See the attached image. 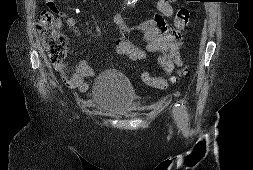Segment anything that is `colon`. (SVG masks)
I'll list each match as a JSON object with an SVG mask.
<instances>
[{"label": "colon", "mask_w": 253, "mask_h": 170, "mask_svg": "<svg viewBox=\"0 0 253 170\" xmlns=\"http://www.w3.org/2000/svg\"><path fill=\"white\" fill-rule=\"evenodd\" d=\"M189 10L182 7L177 12V25L183 27L189 20ZM55 18L49 11H42L39 18V29L43 37L44 45L47 50L49 59L52 62L58 63L62 61L67 54V40L66 37L54 27ZM151 86H158V83L153 79L148 80Z\"/></svg>", "instance_id": "colon-1"}]
</instances>
